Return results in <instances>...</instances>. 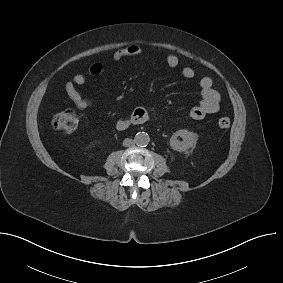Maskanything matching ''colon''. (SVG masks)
<instances>
[{
    "label": "colon",
    "instance_id": "5ec220e1",
    "mask_svg": "<svg viewBox=\"0 0 283 283\" xmlns=\"http://www.w3.org/2000/svg\"><path fill=\"white\" fill-rule=\"evenodd\" d=\"M80 122L79 116L72 109L57 112L52 117V126L57 131L63 134L73 133ZM231 125V119L227 116H222L218 119V126L221 129H227Z\"/></svg>",
    "mask_w": 283,
    "mask_h": 283
}]
</instances>
